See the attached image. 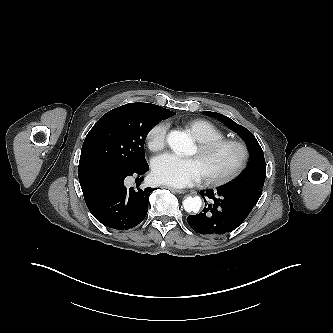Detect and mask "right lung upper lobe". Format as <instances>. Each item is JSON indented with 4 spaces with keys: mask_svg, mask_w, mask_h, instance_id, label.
Segmentation results:
<instances>
[{
    "mask_svg": "<svg viewBox=\"0 0 333 333\" xmlns=\"http://www.w3.org/2000/svg\"><path fill=\"white\" fill-rule=\"evenodd\" d=\"M126 105H128V106L135 105V106H144V107L154 108V109L160 110L163 113H166V114L172 115V116L175 114L174 112L169 111L168 109L162 108V107L154 105V104H149V103L137 102V103H129V104H126Z\"/></svg>",
    "mask_w": 333,
    "mask_h": 333,
    "instance_id": "obj_1",
    "label": "right lung upper lobe"
}]
</instances>
